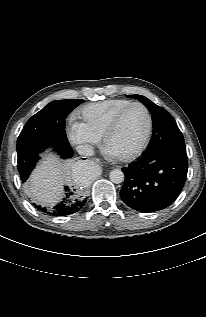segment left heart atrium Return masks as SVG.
I'll use <instances>...</instances> for the list:
<instances>
[{
    "label": "left heart atrium",
    "instance_id": "obj_1",
    "mask_svg": "<svg viewBox=\"0 0 206 317\" xmlns=\"http://www.w3.org/2000/svg\"><path fill=\"white\" fill-rule=\"evenodd\" d=\"M109 155H113L114 153H112L109 149L107 150Z\"/></svg>",
    "mask_w": 206,
    "mask_h": 317
}]
</instances>
